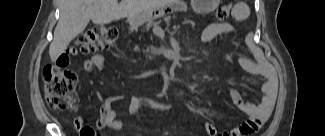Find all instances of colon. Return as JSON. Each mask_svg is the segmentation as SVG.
Returning <instances> with one entry per match:
<instances>
[{"label":"colon","mask_w":325,"mask_h":136,"mask_svg":"<svg viewBox=\"0 0 325 136\" xmlns=\"http://www.w3.org/2000/svg\"><path fill=\"white\" fill-rule=\"evenodd\" d=\"M230 14V6L223 5L216 11V23L224 22ZM117 31L113 27H96L82 34L75 43L80 53L102 51L113 46ZM44 91L49 107L55 111H64L70 105L71 95L76 83L69 81L55 65H48L43 70ZM80 136H99L91 127L80 130Z\"/></svg>","instance_id":"5ec220e1"}]
</instances>
